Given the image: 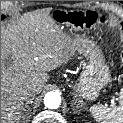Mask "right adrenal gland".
Segmentation results:
<instances>
[{"label": "right adrenal gland", "instance_id": "1", "mask_svg": "<svg viewBox=\"0 0 123 123\" xmlns=\"http://www.w3.org/2000/svg\"><path fill=\"white\" fill-rule=\"evenodd\" d=\"M32 102H33L32 99H29V100L26 102V104H25V106H24V111H29V112H30L29 105H30ZM28 118H29V117H28ZM27 121H28V120H26L25 123H27Z\"/></svg>", "mask_w": 123, "mask_h": 123}]
</instances>
